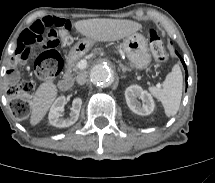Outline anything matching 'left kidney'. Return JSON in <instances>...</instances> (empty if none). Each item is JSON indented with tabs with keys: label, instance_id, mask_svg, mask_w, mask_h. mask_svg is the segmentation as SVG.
Instances as JSON below:
<instances>
[{
	"label": "left kidney",
	"instance_id": "obj_1",
	"mask_svg": "<svg viewBox=\"0 0 215 183\" xmlns=\"http://www.w3.org/2000/svg\"><path fill=\"white\" fill-rule=\"evenodd\" d=\"M125 98L128 107L134 113L146 116L153 112L155 104L149 92L138 85H131L125 90ZM138 99L142 101L139 102Z\"/></svg>",
	"mask_w": 215,
	"mask_h": 183
}]
</instances>
